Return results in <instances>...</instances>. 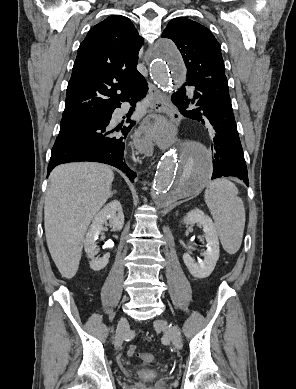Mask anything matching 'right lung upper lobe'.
<instances>
[{
    "label": "right lung upper lobe",
    "mask_w": 296,
    "mask_h": 389,
    "mask_svg": "<svg viewBox=\"0 0 296 389\" xmlns=\"http://www.w3.org/2000/svg\"><path fill=\"white\" fill-rule=\"evenodd\" d=\"M143 44L129 18L110 16L80 44L66 92L62 119L98 116L120 107L136 81Z\"/></svg>",
    "instance_id": "obj_1"
}]
</instances>
